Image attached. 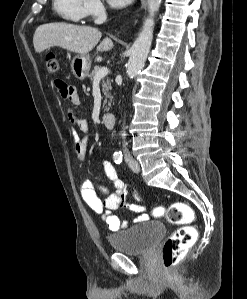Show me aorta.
<instances>
[{
  "instance_id": "aorta-1",
  "label": "aorta",
  "mask_w": 247,
  "mask_h": 299,
  "mask_svg": "<svg viewBox=\"0 0 247 299\" xmlns=\"http://www.w3.org/2000/svg\"><path fill=\"white\" fill-rule=\"evenodd\" d=\"M162 0H148L149 17L145 20L142 31L130 49V57L127 64V75L134 78L145 65L154 29V15L159 10Z\"/></svg>"
}]
</instances>
